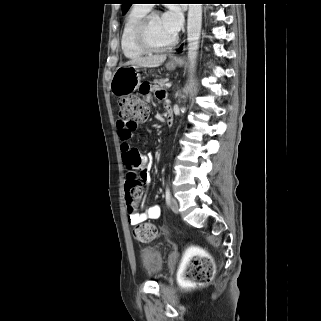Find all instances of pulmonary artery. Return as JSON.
I'll return each instance as SVG.
<instances>
[{
	"instance_id": "obj_1",
	"label": "pulmonary artery",
	"mask_w": 321,
	"mask_h": 321,
	"mask_svg": "<svg viewBox=\"0 0 321 321\" xmlns=\"http://www.w3.org/2000/svg\"><path fill=\"white\" fill-rule=\"evenodd\" d=\"M144 6L149 8V9L152 7V5H150V4H145Z\"/></svg>"
}]
</instances>
